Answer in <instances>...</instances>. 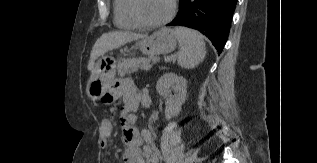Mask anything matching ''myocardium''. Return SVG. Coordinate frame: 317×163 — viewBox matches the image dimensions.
Instances as JSON below:
<instances>
[{
	"mask_svg": "<svg viewBox=\"0 0 317 163\" xmlns=\"http://www.w3.org/2000/svg\"><path fill=\"white\" fill-rule=\"evenodd\" d=\"M139 2L140 0H130V11L137 23L146 28H159L168 24L174 18L178 7V0H172L169 14L160 21L150 22L142 16L139 8Z\"/></svg>",
	"mask_w": 317,
	"mask_h": 163,
	"instance_id": "f54148a6",
	"label": "myocardium"
}]
</instances>
